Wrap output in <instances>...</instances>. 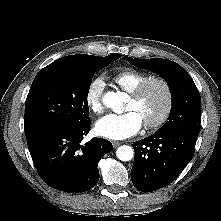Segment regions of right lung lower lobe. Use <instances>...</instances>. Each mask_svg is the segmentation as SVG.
I'll return each mask as SVG.
<instances>
[{"mask_svg":"<svg viewBox=\"0 0 221 221\" xmlns=\"http://www.w3.org/2000/svg\"><path fill=\"white\" fill-rule=\"evenodd\" d=\"M89 130L90 122L80 126L55 125L26 137L34 165L50 187L79 193L97 184L98 162L113 146L100 138L81 145Z\"/></svg>","mask_w":221,"mask_h":221,"instance_id":"right-lung-lower-lobe-1","label":"right lung lower lobe"}]
</instances>
